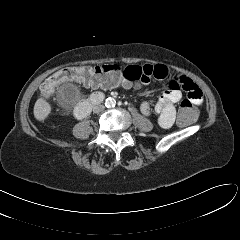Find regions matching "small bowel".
Masks as SVG:
<instances>
[{
  "label": "small bowel",
  "mask_w": 240,
  "mask_h": 240,
  "mask_svg": "<svg viewBox=\"0 0 240 240\" xmlns=\"http://www.w3.org/2000/svg\"><path fill=\"white\" fill-rule=\"evenodd\" d=\"M124 74L127 79L120 85L125 87L146 84L151 78L168 79L167 89L156 97L154 106L158 124L162 128H169L173 124L176 116V104L181 100L183 93L194 105H200L203 101L202 91L190 78L177 72H170L165 65H130L125 68ZM92 87L111 88L112 86ZM140 109L145 116L152 113V106L148 101L143 102Z\"/></svg>",
  "instance_id": "c3829d8e"
}]
</instances>
